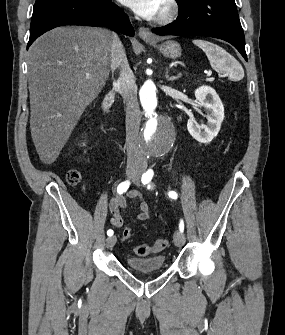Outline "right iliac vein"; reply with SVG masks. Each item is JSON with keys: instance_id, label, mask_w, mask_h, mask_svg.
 Here are the masks:
<instances>
[{"instance_id": "63e3f726", "label": "right iliac vein", "mask_w": 285, "mask_h": 335, "mask_svg": "<svg viewBox=\"0 0 285 335\" xmlns=\"http://www.w3.org/2000/svg\"><path fill=\"white\" fill-rule=\"evenodd\" d=\"M127 174L129 177H133L135 175L134 171L130 169L127 170ZM116 240H117L116 236L108 237L106 240L107 247L108 248L113 247L116 243Z\"/></svg>"}]
</instances>
